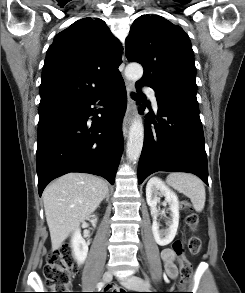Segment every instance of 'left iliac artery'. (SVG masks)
Returning <instances> with one entry per match:
<instances>
[{"label": "left iliac artery", "instance_id": "obj_1", "mask_svg": "<svg viewBox=\"0 0 245 293\" xmlns=\"http://www.w3.org/2000/svg\"><path fill=\"white\" fill-rule=\"evenodd\" d=\"M149 289V287L147 286V285H145L143 288H142V290H148Z\"/></svg>", "mask_w": 245, "mask_h": 293}]
</instances>
